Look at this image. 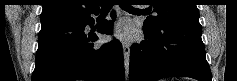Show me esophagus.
Segmentation results:
<instances>
[{"label":"esophagus","instance_id":"obj_1","mask_svg":"<svg viewBox=\"0 0 237 81\" xmlns=\"http://www.w3.org/2000/svg\"><path fill=\"white\" fill-rule=\"evenodd\" d=\"M123 54H124V65L126 74L129 73V63H130V44L128 42H122Z\"/></svg>","mask_w":237,"mask_h":81}]
</instances>
